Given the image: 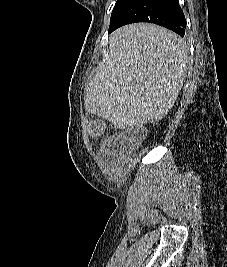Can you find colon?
Returning <instances> with one entry per match:
<instances>
[{
    "mask_svg": "<svg viewBox=\"0 0 227 267\" xmlns=\"http://www.w3.org/2000/svg\"><path fill=\"white\" fill-rule=\"evenodd\" d=\"M87 132L93 138H99L105 133V124L101 119H94L87 125ZM146 137V132L143 128H135L129 130L121 137L125 146L134 148L140 145Z\"/></svg>",
    "mask_w": 227,
    "mask_h": 267,
    "instance_id": "1",
    "label": "colon"
}]
</instances>
